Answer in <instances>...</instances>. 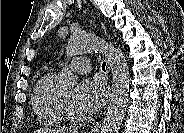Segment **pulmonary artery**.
Listing matches in <instances>:
<instances>
[{"label":"pulmonary artery","mask_w":184,"mask_h":133,"mask_svg":"<svg viewBox=\"0 0 184 133\" xmlns=\"http://www.w3.org/2000/svg\"><path fill=\"white\" fill-rule=\"evenodd\" d=\"M68 67L72 69L74 72L80 74L87 73L91 70L89 60H87L84 57H76L69 63Z\"/></svg>","instance_id":"e3ab8cb5"}]
</instances>
